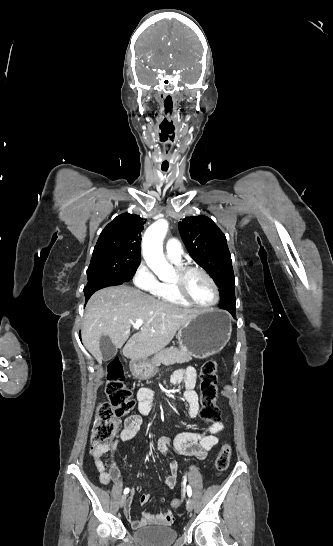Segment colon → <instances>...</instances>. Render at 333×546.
<instances>
[{
    "instance_id": "colon-1",
    "label": "colon",
    "mask_w": 333,
    "mask_h": 546,
    "mask_svg": "<svg viewBox=\"0 0 333 546\" xmlns=\"http://www.w3.org/2000/svg\"><path fill=\"white\" fill-rule=\"evenodd\" d=\"M218 374L219 367L215 360H207L200 370V417L208 429L210 424L220 420V410L216 405ZM105 391L107 400L97 408L95 425L91 435L94 447L111 443L120 430L121 419L130 414L135 406L132 392L126 385L123 367L118 358L110 360L107 364ZM230 458L231 447L224 444L215 459L217 476L227 470ZM171 505L177 509L181 506V501L174 499Z\"/></svg>"
}]
</instances>
